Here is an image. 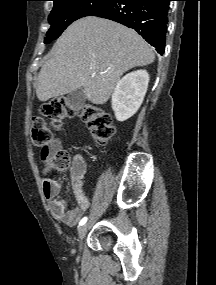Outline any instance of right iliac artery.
I'll list each match as a JSON object with an SVG mask.
<instances>
[{
    "mask_svg": "<svg viewBox=\"0 0 216 285\" xmlns=\"http://www.w3.org/2000/svg\"><path fill=\"white\" fill-rule=\"evenodd\" d=\"M86 221H87V217L82 218L79 222V225L80 226L84 225L86 223Z\"/></svg>",
    "mask_w": 216,
    "mask_h": 285,
    "instance_id": "obj_1",
    "label": "right iliac artery"
}]
</instances>
